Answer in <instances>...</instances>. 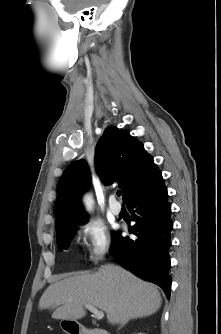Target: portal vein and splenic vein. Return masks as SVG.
Segmentation results:
<instances>
[{
    "mask_svg": "<svg viewBox=\"0 0 221 334\" xmlns=\"http://www.w3.org/2000/svg\"><path fill=\"white\" fill-rule=\"evenodd\" d=\"M85 307L94 314L95 318L100 320L104 317V312L101 310H98L95 306L86 304Z\"/></svg>",
    "mask_w": 221,
    "mask_h": 334,
    "instance_id": "18ae733b",
    "label": "portal vein and splenic vein"
}]
</instances>
